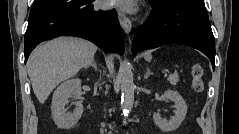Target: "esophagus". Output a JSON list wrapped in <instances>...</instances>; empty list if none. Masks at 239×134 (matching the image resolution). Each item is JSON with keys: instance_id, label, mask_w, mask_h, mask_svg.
<instances>
[{"instance_id": "34e87169", "label": "esophagus", "mask_w": 239, "mask_h": 134, "mask_svg": "<svg viewBox=\"0 0 239 134\" xmlns=\"http://www.w3.org/2000/svg\"><path fill=\"white\" fill-rule=\"evenodd\" d=\"M120 25L126 34H129L132 29L131 20L121 11L118 12Z\"/></svg>"}]
</instances>
